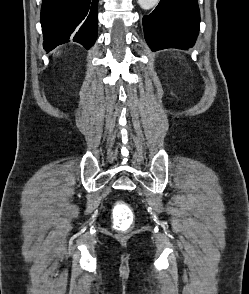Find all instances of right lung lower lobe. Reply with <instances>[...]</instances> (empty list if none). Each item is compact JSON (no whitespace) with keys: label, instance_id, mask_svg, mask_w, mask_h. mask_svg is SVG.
Instances as JSON below:
<instances>
[{"label":"right lung lower lobe","instance_id":"right-lung-lower-lobe-1","mask_svg":"<svg viewBox=\"0 0 249 294\" xmlns=\"http://www.w3.org/2000/svg\"><path fill=\"white\" fill-rule=\"evenodd\" d=\"M98 0H43V46L50 51L74 41L90 49L97 38Z\"/></svg>","mask_w":249,"mask_h":294}]
</instances>
